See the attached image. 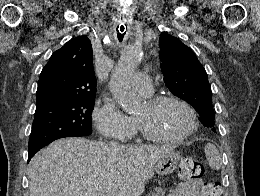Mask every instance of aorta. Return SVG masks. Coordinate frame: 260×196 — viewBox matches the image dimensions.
I'll return each instance as SVG.
<instances>
[{"label":"aorta","instance_id":"obj_1","mask_svg":"<svg viewBox=\"0 0 260 196\" xmlns=\"http://www.w3.org/2000/svg\"><path fill=\"white\" fill-rule=\"evenodd\" d=\"M142 57L141 49L135 47L126 49L112 70L109 87L114 100L127 112L134 111L138 104V98L131 89L130 81Z\"/></svg>","mask_w":260,"mask_h":196}]
</instances>
